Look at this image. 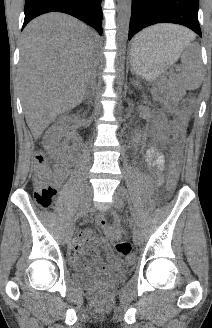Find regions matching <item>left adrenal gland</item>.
Instances as JSON below:
<instances>
[{"label":"left adrenal gland","mask_w":212,"mask_h":328,"mask_svg":"<svg viewBox=\"0 0 212 328\" xmlns=\"http://www.w3.org/2000/svg\"><path fill=\"white\" fill-rule=\"evenodd\" d=\"M133 84H134L135 87H138L139 88V82H138V80H134L133 81Z\"/></svg>","instance_id":"1"}]
</instances>
